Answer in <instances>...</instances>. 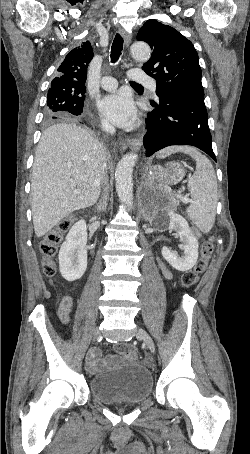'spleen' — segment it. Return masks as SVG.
Returning a JSON list of instances; mask_svg holds the SVG:
<instances>
[{"instance_id": "3e777b00", "label": "spleen", "mask_w": 250, "mask_h": 454, "mask_svg": "<svg viewBox=\"0 0 250 454\" xmlns=\"http://www.w3.org/2000/svg\"><path fill=\"white\" fill-rule=\"evenodd\" d=\"M176 152L186 153L196 161V170L188 181L193 201L186 212L197 228L207 233L215 222L218 201L214 168L207 157L189 146H170L159 151L156 157L161 159Z\"/></svg>"}]
</instances>
